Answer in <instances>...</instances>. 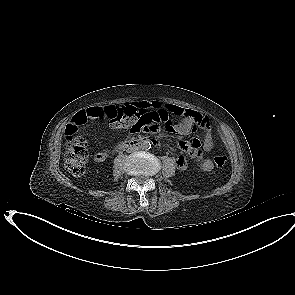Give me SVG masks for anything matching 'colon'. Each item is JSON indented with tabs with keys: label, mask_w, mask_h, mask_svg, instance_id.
<instances>
[{
	"label": "colon",
	"mask_w": 295,
	"mask_h": 295,
	"mask_svg": "<svg viewBox=\"0 0 295 295\" xmlns=\"http://www.w3.org/2000/svg\"><path fill=\"white\" fill-rule=\"evenodd\" d=\"M102 115L109 119L110 124L118 129H128L131 133H156L161 124L167 121L165 111L148 112L139 110L132 105L107 106L102 108ZM170 127V125H167ZM68 171L73 176H82L86 169L87 142L77 133V127L68 125L66 128V150L64 154ZM216 167L222 168L227 162L223 154L213 157Z\"/></svg>",
	"instance_id": "5ec220e1"
}]
</instances>
